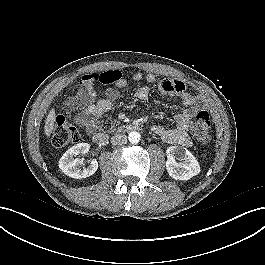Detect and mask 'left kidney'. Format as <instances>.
I'll return each mask as SVG.
<instances>
[{
    "mask_svg": "<svg viewBox=\"0 0 265 265\" xmlns=\"http://www.w3.org/2000/svg\"><path fill=\"white\" fill-rule=\"evenodd\" d=\"M166 170L175 180H189L200 173V165L196 158L186 148L171 146L166 150ZM176 159L183 161L178 163Z\"/></svg>",
    "mask_w": 265,
    "mask_h": 265,
    "instance_id": "obj_1",
    "label": "left kidney"
}]
</instances>
